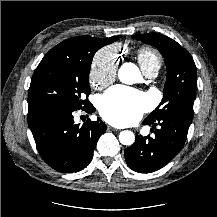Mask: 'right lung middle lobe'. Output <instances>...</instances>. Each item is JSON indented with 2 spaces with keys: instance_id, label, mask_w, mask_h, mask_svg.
<instances>
[{
  "instance_id": "obj_1",
  "label": "right lung middle lobe",
  "mask_w": 217,
  "mask_h": 217,
  "mask_svg": "<svg viewBox=\"0 0 217 217\" xmlns=\"http://www.w3.org/2000/svg\"><path fill=\"white\" fill-rule=\"evenodd\" d=\"M100 46L93 41L79 48L51 49L36 68L28 93L29 111L42 108L79 110L90 104L89 72Z\"/></svg>"
}]
</instances>
